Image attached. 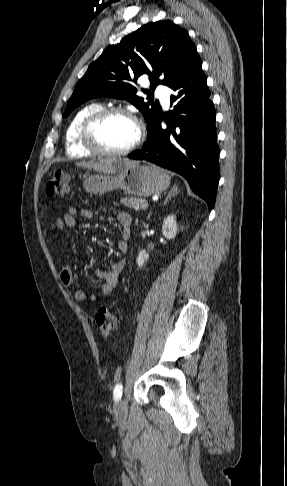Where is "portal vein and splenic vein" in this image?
<instances>
[{
	"instance_id": "portal-vein-and-splenic-vein-1",
	"label": "portal vein and splenic vein",
	"mask_w": 287,
	"mask_h": 486,
	"mask_svg": "<svg viewBox=\"0 0 287 486\" xmlns=\"http://www.w3.org/2000/svg\"><path fill=\"white\" fill-rule=\"evenodd\" d=\"M142 207H143L144 209H147V208H148V203L143 204V205H142Z\"/></svg>"
}]
</instances>
